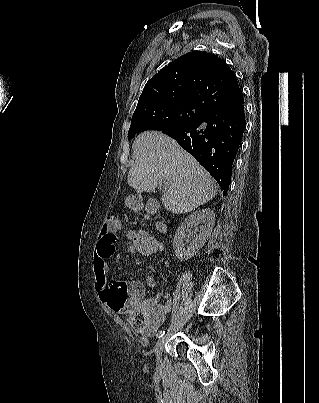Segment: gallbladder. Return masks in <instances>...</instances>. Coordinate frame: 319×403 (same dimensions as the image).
<instances>
[{"mask_svg": "<svg viewBox=\"0 0 319 403\" xmlns=\"http://www.w3.org/2000/svg\"><path fill=\"white\" fill-rule=\"evenodd\" d=\"M146 209H147V210L149 209V204L146 205Z\"/></svg>", "mask_w": 319, "mask_h": 403, "instance_id": "obj_1", "label": "gallbladder"}]
</instances>
